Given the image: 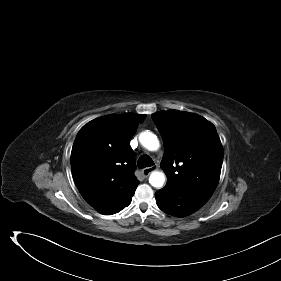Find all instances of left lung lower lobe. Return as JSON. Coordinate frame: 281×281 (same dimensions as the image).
Instances as JSON below:
<instances>
[{"mask_svg": "<svg viewBox=\"0 0 281 281\" xmlns=\"http://www.w3.org/2000/svg\"><path fill=\"white\" fill-rule=\"evenodd\" d=\"M155 197L161 210L176 217H184L194 213L209 200V197L192 189L168 185L156 192Z\"/></svg>", "mask_w": 281, "mask_h": 281, "instance_id": "1", "label": "left lung lower lobe"}]
</instances>
